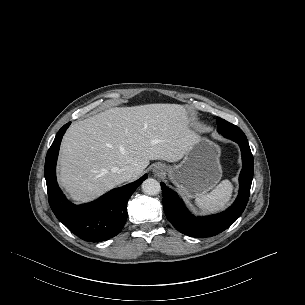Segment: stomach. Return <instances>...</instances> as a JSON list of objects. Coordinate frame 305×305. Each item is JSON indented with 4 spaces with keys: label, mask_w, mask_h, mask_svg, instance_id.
<instances>
[{
    "label": "stomach",
    "mask_w": 305,
    "mask_h": 305,
    "mask_svg": "<svg viewBox=\"0 0 305 305\" xmlns=\"http://www.w3.org/2000/svg\"><path fill=\"white\" fill-rule=\"evenodd\" d=\"M220 147L198 137L178 165L167 166L166 175L177 189L193 198L212 189L222 177Z\"/></svg>",
    "instance_id": "stomach-1"
}]
</instances>
